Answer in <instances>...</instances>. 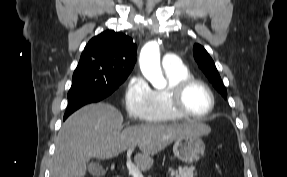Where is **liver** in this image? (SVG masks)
Here are the masks:
<instances>
[{
	"mask_svg": "<svg viewBox=\"0 0 287 177\" xmlns=\"http://www.w3.org/2000/svg\"><path fill=\"white\" fill-rule=\"evenodd\" d=\"M123 116L114 106H84L62 125L55 144L52 177H84L90 158L109 159L139 146L134 157L138 168L153 165L152 156L185 135H206L211 129L197 121L182 124H140L122 130ZM122 130V131H121Z\"/></svg>",
	"mask_w": 287,
	"mask_h": 177,
	"instance_id": "6515ba94",
	"label": "liver"
}]
</instances>
